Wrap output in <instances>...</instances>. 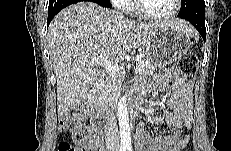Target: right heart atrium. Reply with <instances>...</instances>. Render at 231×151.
I'll return each mask as SVG.
<instances>
[{"mask_svg": "<svg viewBox=\"0 0 231 151\" xmlns=\"http://www.w3.org/2000/svg\"><path fill=\"white\" fill-rule=\"evenodd\" d=\"M112 3L118 10L122 12H127L130 10V1L128 0H113Z\"/></svg>", "mask_w": 231, "mask_h": 151, "instance_id": "d8ad5b80", "label": "right heart atrium"}]
</instances>
